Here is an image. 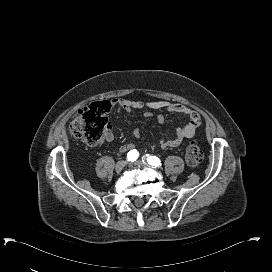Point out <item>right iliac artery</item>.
Masks as SVG:
<instances>
[{"mask_svg":"<svg viewBox=\"0 0 272 272\" xmlns=\"http://www.w3.org/2000/svg\"><path fill=\"white\" fill-rule=\"evenodd\" d=\"M138 156H139V153L137 152V150H132L128 152L127 154L128 161H131V162L136 161Z\"/></svg>","mask_w":272,"mask_h":272,"instance_id":"1","label":"right iliac artery"}]
</instances>
